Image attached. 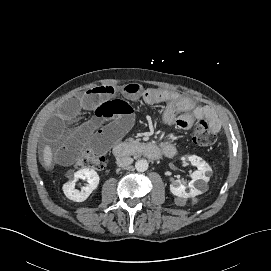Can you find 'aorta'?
<instances>
[{
	"instance_id": "1",
	"label": "aorta",
	"mask_w": 271,
	"mask_h": 271,
	"mask_svg": "<svg viewBox=\"0 0 271 271\" xmlns=\"http://www.w3.org/2000/svg\"><path fill=\"white\" fill-rule=\"evenodd\" d=\"M148 161L146 159H139L135 163V168L138 172H144L148 169Z\"/></svg>"
}]
</instances>
